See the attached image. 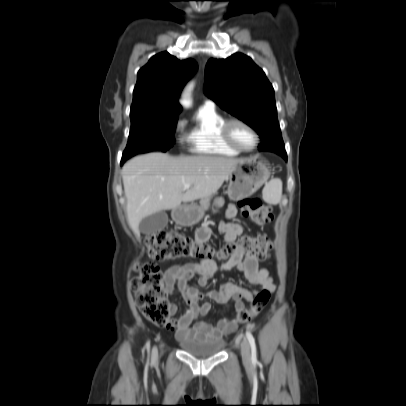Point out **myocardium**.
<instances>
[{
  "instance_id": "1",
  "label": "myocardium",
  "mask_w": 406,
  "mask_h": 406,
  "mask_svg": "<svg viewBox=\"0 0 406 406\" xmlns=\"http://www.w3.org/2000/svg\"><path fill=\"white\" fill-rule=\"evenodd\" d=\"M234 124H241L251 131V133L253 134V136L255 138L254 145L251 148H243L234 141V139L231 135V127ZM222 138L230 147L238 150L239 152L253 151L258 146V143H259V135H258L257 131L255 130V128L250 123H248L247 121L240 119V118H230V119L225 120L223 127H222Z\"/></svg>"
}]
</instances>
